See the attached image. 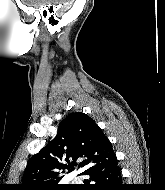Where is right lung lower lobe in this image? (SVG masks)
Masks as SVG:
<instances>
[{
  "label": "right lung lower lobe",
  "instance_id": "obj_1",
  "mask_svg": "<svg viewBox=\"0 0 165 190\" xmlns=\"http://www.w3.org/2000/svg\"><path fill=\"white\" fill-rule=\"evenodd\" d=\"M82 175L89 178L85 180L82 190H126L127 185L122 184L121 172L117 165L115 154L97 165L86 170Z\"/></svg>",
  "mask_w": 165,
  "mask_h": 190
}]
</instances>
